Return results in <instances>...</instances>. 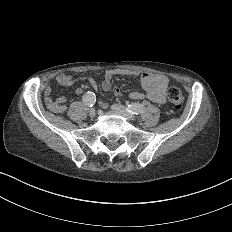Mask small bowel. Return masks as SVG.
<instances>
[{"instance_id": "c3829d8e", "label": "small bowel", "mask_w": 232, "mask_h": 232, "mask_svg": "<svg viewBox=\"0 0 232 232\" xmlns=\"http://www.w3.org/2000/svg\"><path fill=\"white\" fill-rule=\"evenodd\" d=\"M115 76H128L135 78L148 90V97L150 100L163 103L166 100V90L170 86V79L161 73H148L146 71L140 69H107L102 72V89L105 92H109L111 88V80ZM56 82L64 87L71 86L75 83V79L69 75L64 73H59L55 76ZM88 82L92 85V87L97 90L98 81L94 78H90ZM53 92V87L48 85L46 87V94H51ZM75 92L80 94L82 92V88H76ZM116 98L121 96L120 92H114L113 94ZM129 96L133 99H139L143 95L141 92L133 90L129 92ZM102 108L108 109L109 104L107 102H103L101 104Z\"/></svg>"}]
</instances>
